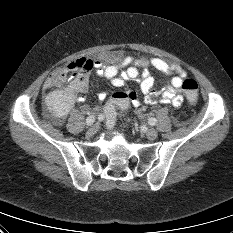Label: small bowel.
<instances>
[{
  "label": "small bowel",
  "instance_id": "c3829d8e",
  "mask_svg": "<svg viewBox=\"0 0 233 233\" xmlns=\"http://www.w3.org/2000/svg\"><path fill=\"white\" fill-rule=\"evenodd\" d=\"M92 63L99 74L107 78L116 88L123 87L128 80L139 81L144 102L149 105H154L157 101L152 94L155 79L148 68L153 67L164 73H174L175 75L170 82L164 86L159 101L162 104H172L175 107H179L183 102V97L178 91L187 72L184 67L177 63L168 62L157 57L124 55L118 51L108 53L103 61L95 60ZM121 68H123L122 72H120ZM88 88V75L81 80L71 81L68 86L61 89H54L51 86V75L46 79L44 89L48 92L45 96V103L48 115L55 124H61L77 102L85 101ZM126 92L129 103L139 107L142 101L137 93L132 90ZM97 96L100 100H104L107 94L100 92Z\"/></svg>",
  "mask_w": 233,
  "mask_h": 233
}]
</instances>
